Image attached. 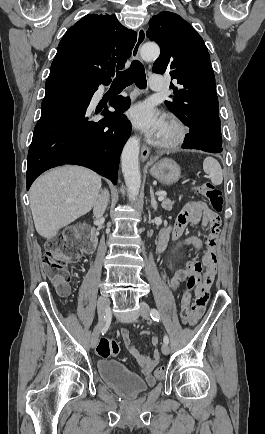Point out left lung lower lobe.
<instances>
[{
	"label": "left lung lower lobe",
	"mask_w": 265,
	"mask_h": 434,
	"mask_svg": "<svg viewBox=\"0 0 265 434\" xmlns=\"http://www.w3.org/2000/svg\"><path fill=\"white\" fill-rule=\"evenodd\" d=\"M184 142L182 147L185 149H196L210 153H221L223 151L221 135L204 134L196 131V128L190 130Z\"/></svg>",
	"instance_id": "1"
}]
</instances>
